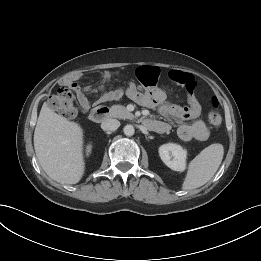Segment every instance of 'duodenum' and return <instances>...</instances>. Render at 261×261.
I'll return each instance as SVG.
<instances>
[{
  "instance_id": "duodenum-1",
  "label": "duodenum",
  "mask_w": 261,
  "mask_h": 261,
  "mask_svg": "<svg viewBox=\"0 0 261 261\" xmlns=\"http://www.w3.org/2000/svg\"><path fill=\"white\" fill-rule=\"evenodd\" d=\"M108 116L109 109L105 106H99L91 112L90 119L96 123H100L104 121ZM144 124L152 130H156L159 127V124L156 121L152 120H145Z\"/></svg>"
}]
</instances>
